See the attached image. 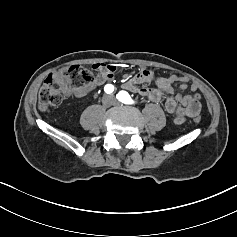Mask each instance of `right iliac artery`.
<instances>
[{"mask_svg":"<svg viewBox=\"0 0 237 237\" xmlns=\"http://www.w3.org/2000/svg\"><path fill=\"white\" fill-rule=\"evenodd\" d=\"M104 91L107 93V94H110L114 91V86L112 84H107L105 87H104Z\"/></svg>","mask_w":237,"mask_h":237,"instance_id":"1","label":"right iliac artery"}]
</instances>
